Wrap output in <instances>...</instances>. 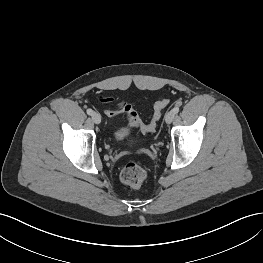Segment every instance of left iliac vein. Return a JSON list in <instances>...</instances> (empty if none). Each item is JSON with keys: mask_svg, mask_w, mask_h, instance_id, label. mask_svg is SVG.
<instances>
[{"mask_svg": "<svg viewBox=\"0 0 263 263\" xmlns=\"http://www.w3.org/2000/svg\"><path fill=\"white\" fill-rule=\"evenodd\" d=\"M175 118V113L173 111H169L165 115L166 123L170 124Z\"/></svg>", "mask_w": 263, "mask_h": 263, "instance_id": "left-iliac-vein-1", "label": "left iliac vein"}]
</instances>
